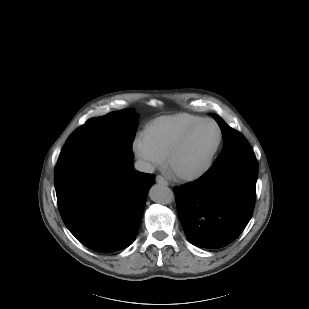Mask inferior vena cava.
<instances>
[{"label":"inferior vena cava","instance_id":"obj_1","mask_svg":"<svg viewBox=\"0 0 309 309\" xmlns=\"http://www.w3.org/2000/svg\"><path fill=\"white\" fill-rule=\"evenodd\" d=\"M134 166L136 170L146 173H153L155 170V167L152 164L143 160H137Z\"/></svg>","mask_w":309,"mask_h":309}]
</instances>
